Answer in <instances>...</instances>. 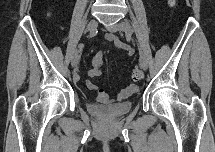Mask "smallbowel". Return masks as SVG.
Wrapping results in <instances>:
<instances>
[{
  "label": "small bowel",
  "mask_w": 215,
  "mask_h": 152,
  "mask_svg": "<svg viewBox=\"0 0 215 152\" xmlns=\"http://www.w3.org/2000/svg\"><path fill=\"white\" fill-rule=\"evenodd\" d=\"M106 40L112 42L118 49L125 51L128 55L133 54V49L124 42H122L116 35L107 34ZM102 66H103L102 52L98 51L94 53L90 58V68L87 71L88 76L91 78L100 77L102 74ZM79 78L80 77L78 74L74 75V81H78ZM86 85L90 90L95 91V99L97 102L106 103L109 101V96L107 95V93L104 92V90H102L94 82L88 80L86 82ZM138 89L139 88L136 84L131 83L120 91L118 98L124 99L130 96L131 94L137 92Z\"/></svg>",
  "instance_id": "c3829d8e"
}]
</instances>
